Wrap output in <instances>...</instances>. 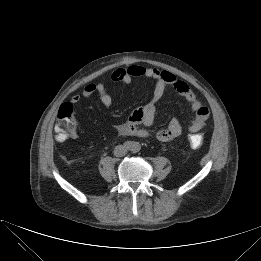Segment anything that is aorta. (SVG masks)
<instances>
[{"label": "aorta", "mask_w": 261, "mask_h": 261, "mask_svg": "<svg viewBox=\"0 0 261 261\" xmlns=\"http://www.w3.org/2000/svg\"><path fill=\"white\" fill-rule=\"evenodd\" d=\"M130 147L133 152H138L140 150V144L138 142H132Z\"/></svg>", "instance_id": "aorta-1"}]
</instances>
